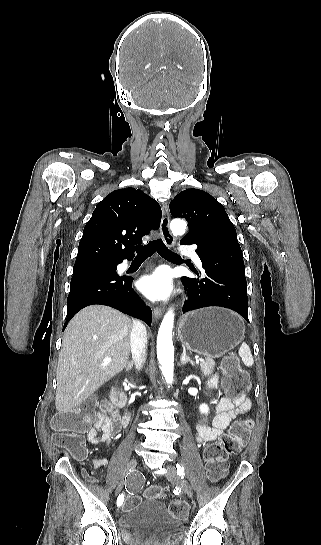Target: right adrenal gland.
<instances>
[{
  "mask_svg": "<svg viewBox=\"0 0 321 545\" xmlns=\"http://www.w3.org/2000/svg\"><path fill=\"white\" fill-rule=\"evenodd\" d=\"M132 367H133V363H132V361H131V363L129 361V363H127V365H126V371H131Z\"/></svg>",
  "mask_w": 321,
  "mask_h": 545,
  "instance_id": "1",
  "label": "right adrenal gland"
}]
</instances>
